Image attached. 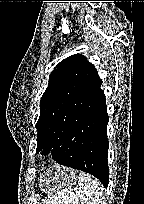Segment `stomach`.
<instances>
[{
  "label": "stomach",
  "mask_w": 144,
  "mask_h": 204,
  "mask_svg": "<svg viewBox=\"0 0 144 204\" xmlns=\"http://www.w3.org/2000/svg\"><path fill=\"white\" fill-rule=\"evenodd\" d=\"M76 176L73 170L60 166L50 167L39 180V188L48 196H54L61 191H68L74 185Z\"/></svg>",
  "instance_id": "obj_1"
}]
</instances>
